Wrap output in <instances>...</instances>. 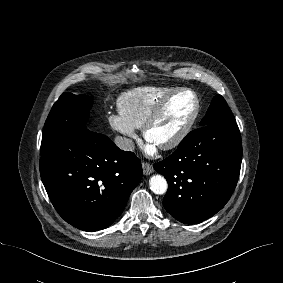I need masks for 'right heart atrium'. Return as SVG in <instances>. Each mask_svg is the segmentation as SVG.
I'll list each match as a JSON object with an SVG mask.
<instances>
[{
	"label": "right heart atrium",
	"mask_w": 283,
	"mask_h": 283,
	"mask_svg": "<svg viewBox=\"0 0 283 283\" xmlns=\"http://www.w3.org/2000/svg\"><path fill=\"white\" fill-rule=\"evenodd\" d=\"M108 121L114 130L124 136L126 146L130 147L131 142L137 137L135 128L125 120L120 112L110 113Z\"/></svg>",
	"instance_id": "1"
}]
</instances>
